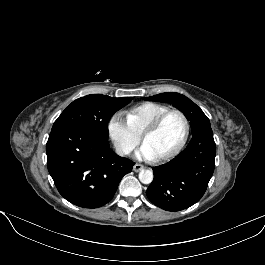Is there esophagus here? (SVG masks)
Masks as SVG:
<instances>
[{
  "instance_id": "1",
  "label": "esophagus",
  "mask_w": 265,
  "mask_h": 265,
  "mask_svg": "<svg viewBox=\"0 0 265 265\" xmlns=\"http://www.w3.org/2000/svg\"><path fill=\"white\" fill-rule=\"evenodd\" d=\"M144 169V166L142 164H139V163H136L134 166H133V171L135 172H140L141 170Z\"/></svg>"
}]
</instances>
